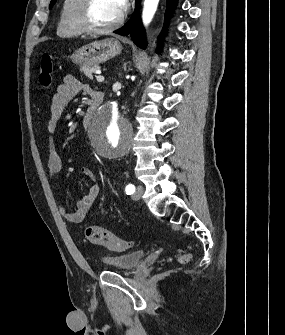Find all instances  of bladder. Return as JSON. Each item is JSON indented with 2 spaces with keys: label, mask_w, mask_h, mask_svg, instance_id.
Returning <instances> with one entry per match:
<instances>
[{
  "label": "bladder",
  "mask_w": 285,
  "mask_h": 335,
  "mask_svg": "<svg viewBox=\"0 0 285 335\" xmlns=\"http://www.w3.org/2000/svg\"><path fill=\"white\" fill-rule=\"evenodd\" d=\"M147 252L145 251H128L116 255L103 256L101 261L103 265H129V272L134 270L138 265L142 264ZM125 273V272H120Z\"/></svg>",
  "instance_id": "bladder-1"
}]
</instances>
